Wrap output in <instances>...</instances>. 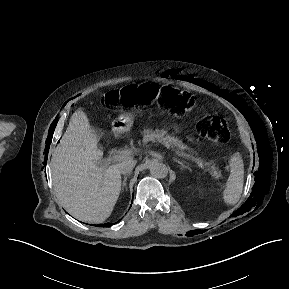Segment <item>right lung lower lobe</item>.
I'll use <instances>...</instances> for the list:
<instances>
[{"mask_svg":"<svg viewBox=\"0 0 289 289\" xmlns=\"http://www.w3.org/2000/svg\"><path fill=\"white\" fill-rule=\"evenodd\" d=\"M106 225H107V226H110V225H112V224H110V223H107Z\"/></svg>","mask_w":289,"mask_h":289,"instance_id":"1","label":"right lung lower lobe"}]
</instances>
